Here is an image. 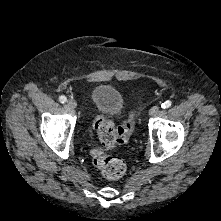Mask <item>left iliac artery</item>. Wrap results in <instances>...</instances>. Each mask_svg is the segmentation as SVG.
<instances>
[{"mask_svg": "<svg viewBox=\"0 0 221 221\" xmlns=\"http://www.w3.org/2000/svg\"><path fill=\"white\" fill-rule=\"evenodd\" d=\"M171 101L167 100L164 103L161 104V108L166 109L169 108L171 106Z\"/></svg>", "mask_w": 221, "mask_h": 221, "instance_id": "1", "label": "left iliac artery"}]
</instances>
